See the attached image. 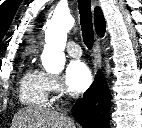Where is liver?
I'll list each match as a JSON object with an SVG mask.
<instances>
[{"instance_id":"6515ba94","label":"liver","mask_w":142,"mask_h":128,"mask_svg":"<svg viewBox=\"0 0 142 128\" xmlns=\"http://www.w3.org/2000/svg\"><path fill=\"white\" fill-rule=\"evenodd\" d=\"M12 128H75V125L63 114L49 108L26 107L16 113Z\"/></svg>"}]
</instances>
